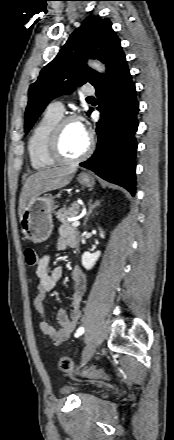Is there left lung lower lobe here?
Masks as SVG:
<instances>
[{
    "mask_svg": "<svg viewBox=\"0 0 174 440\" xmlns=\"http://www.w3.org/2000/svg\"><path fill=\"white\" fill-rule=\"evenodd\" d=\"M94 87L101 112L96 124L98 144L94 154L80 166L134 195L139 104L123 51L109 62L107 75H102Z\"/></svg>",
    "mask_w": 174,
    "mask_h": 440,
    "instance_id": "left-lung-lower-lobe-1",
    "label": "left lung lower lobe"
}]
</instances>
